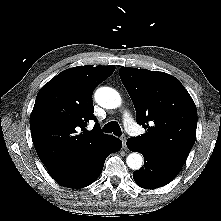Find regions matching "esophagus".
Here are the masks:
<instances>
[{
	"label": "esophagus",
	"instance_id": "1",
	"mask_svg": "<svg viewBox=\"0 0 221 221\" xmlns=\"http://www.w3.org/2000/svg\"><path fill=\"white\" fill-rule=\"evenodd\" d=\"M121 141H122V144H123V148L126 149V141H127V139H126L125 135L121 136Z\"/></svg>",
	"mask_w": 221,
	"mask_h": 221
}]
</instances>
